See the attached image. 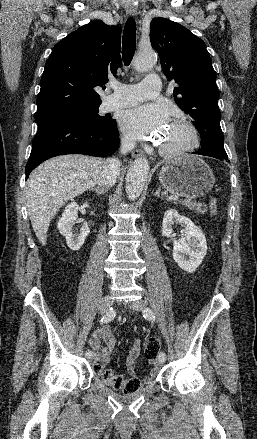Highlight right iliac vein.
Masks as SVG:
<instances>
[{
	"label": "right iliac vein",
	"instance_id": "obj_1",
	"mask_svg": "<svg viewBox=\"0 0 257 439\" xmlns=\"http://www.w3.org/2000/svg\"><path fill=\"white\" fill-rule=\"evenodd\" d=\"M113 302H114V299L112 296H110V295L104 296L100 300L99 313L104 314V313L108 312L111 309Z\"/></svg>",
	"mask_w": 257,
	"mask_h": 439
}]
</instances>
